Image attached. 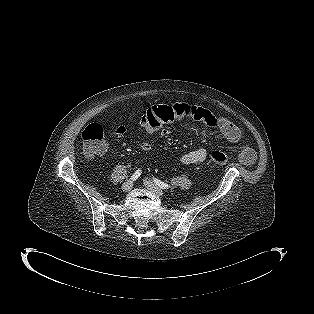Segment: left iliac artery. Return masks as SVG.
<instances>
[{"label":"left iliac artery","mask_w":314,"mask_h":314,"mask_svg":"<svg viewBox=\"0 0 314 314\" xmlns=\"http://www.w3.org/2000/svg\"><path fill=\"white\" fill-rule=\"evenodd\" d=\"M154 182L162 189H168L170 188V185L162 182L161 180L157 179V178H153Z\"/></svg>","instance_id":"obj_1"}]
</instances>
